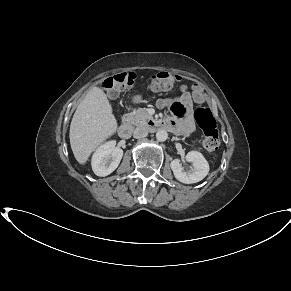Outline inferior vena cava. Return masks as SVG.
I'll return each mask as SVG.
<instances>
[{
    "label": "inferior vena cava",
    "instance_id": "1",
    "mask_svg": "<svg viewBox=\"0 0 291 291\" xmlns=\"http://www.w3.org/2000/svg\"><path fill=\"white\" fill-rule=\"evenodd\" d=\"M147 135H148V129L146 126H143V125L136 127L133 132L134 138H137V139L146 137Z\"/></svg>",
    "mask_w": 291,
    "mask_h": 291
}]
</instances>
